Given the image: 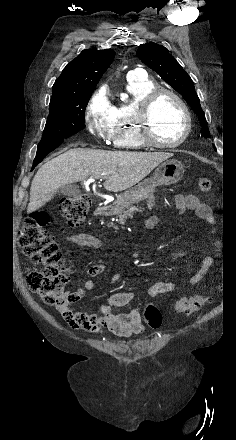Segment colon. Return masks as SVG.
Listing matches in <instances>:
<instances>
[{
	"instance_id": "5ec220e1",
	"label": "colon",
	"mask_w": 236,
	"mask_h": 440,
	"mask_svg": "<svg viewBox=\"0 0 236 440\" xmlns=\"http://www.w3.org/2000/svg\"><path fill=\"white\" fill-rule=\"evenodd\" d=\"M212 182L207 177L199 180L201 192H209ZM90 208L87 195L80 194L66 197L60 204V214L69 226L76 227L82 224ZM50 216L46 212H36L28 217L21 228L19 245L24 254L38 269L27 274L29 289L38 294L47 304L54 306L70 324V321H88L87 319H74L70 312V298L65 292L67 273L62 254L54 237L45 230ZM208 298L201 294L179 299L175 304V312L183 315H192L201 310ZM143 319L145 323L157 328L162 323V314L153 304H147Z\"/></svg>"
}]
</instances>
